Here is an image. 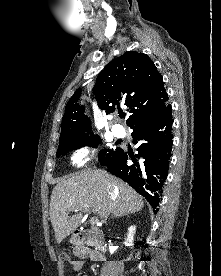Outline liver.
Wrapping results in <instances>:
<instances>
[{
	"mask_svg": "<svg viewBox=\"0 0 221 276\" xmlns=\"http://www.w3.org/2000/svg\"><path fill=\"white\" fill-rule=\"evenodd\" d=\"M144 207L143 198L127 183L103 170L82 171L62 180L53 189L50 220L58 244L73 233L82 219V212L68 215L71 210L91 209L100 218L112 214L135 213Z\"/></svg>",
	"mask_w": 221,
	"mask_h": 276,
	"instance_id": "liver-1",
	"label": "liver"
}]
</instances>
